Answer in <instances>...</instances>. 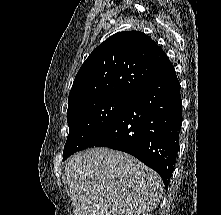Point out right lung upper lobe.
<instances>
[{
  "label": "right lung upper lobe",
  "instance_id": "cb5924a9",
  "mask_svg": "<svg viewBox=\"0 0 221 215\" xmlns=\"http://www.w3.org/2000/svg\"><path fill=\"white\" fill-rule=\"evenodd\" d=\"M172 67L149 36L139 31L116 33L95 48L79 69L68 106L109 94L132 96Z\"/></svg>",
  "mask_w": 221,
  "mask_h": 215
}]
</instances>
